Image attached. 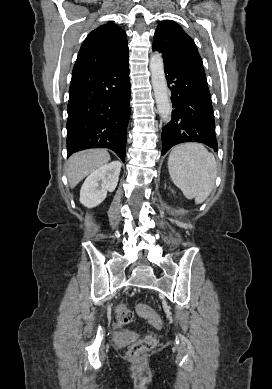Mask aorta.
I'll list each match as a JSON object with an SVG mask.
<instances>
[{
  "label": "aorta",
  "instance_id": "762f6f07",
  "mask_svg": "<svg viewBox=\"0 0 272 389\" xmlns=\"http://www.w3.org/2000/svg\"><path fill=\"white\" fill-rule=\"evenodd\" d=\"M151 81L156 100L157 110L164 122L171 118V101L164 73V64L162 55L154 53L150 59Z\"/></svg>",
  "mask_w": 272,
  "mask_h": 389
}]
</instances>
